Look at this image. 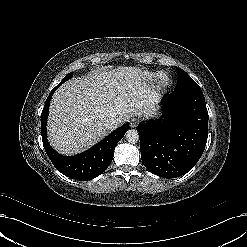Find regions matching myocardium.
Masks as SVG:
<instances>
[{"label":"myocardium","mask_w":247,"mask_h":247,"mask_svg":"<svg viewBox=\"0 0 247 247\" xmlns=\"http://www.w3.org/2000/svg\"><path fill=\"white\" fill-rule=\"evenodd\" d=\"M170 84V78L166 73L158 74L156 78V85L159 89H164Z\"/></svg>","instance_id":"f54148a6"}]
</instances>
